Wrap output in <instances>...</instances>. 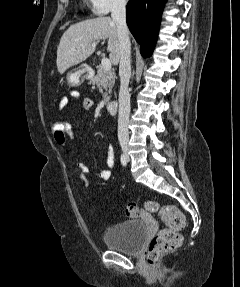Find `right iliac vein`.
I'll return each mask as SVG.
<instances>
[{
  "mask_svg": "<svg viewBox=\"0 0 240 287\" xmlns=\"http://www.w3.org/2000/svg\"><path fill=\"white\" fill-rule=\"evenodd\" d=\"M124 152L127 153V150L125 149Z\"/></svg>",
  "mask_w": 240,
  "mask_h": 287,
  "instance_id": "1",
  "label": "right iliac vein"
}]
</instances>
